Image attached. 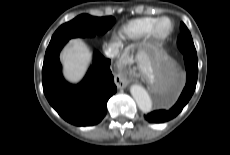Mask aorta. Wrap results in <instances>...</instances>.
Wrapping results in <instances>:
<instances>
[{
  "label": "aorta",
  "mask_w": 230,
  "mask_h": 155,
  "mask_svg": "<svg viewBox=\"0 0 230 155\" xmlns=\"http://www.w3.org/2000/svg\"><path fill=\"white\" fill-rule=\"evenodd\" d=\"M130 92L142 112L148 113L152 110L151 98L141 85H132Z\"/></svg>",
  "instance_id": "obj_1"
}]
</instances>
